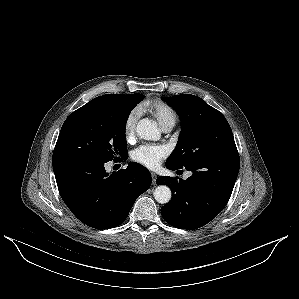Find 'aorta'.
I'll return each mask as SVG.
<instances>
[{"label":"aorta","mask_w":299,"mask_h":299,"mask_svg":"<svg viewBox=\"0 0 299 299\" xmlns=\"http://www.w3.org/2000/svg\"><path fill=\"white\" fill-rule=\"evenodd\" d=\"M136 132L141 139L158 140L160 132L157 124L148 119H142L138 122ZM154 198L160 204H166L171 200V189L166 185H159L154 190Z\"/></svg>","instance_id":"aorta-1"}]
</instances>
